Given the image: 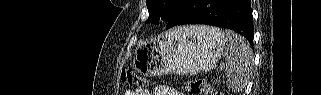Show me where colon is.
Instances as JSON below:
<instances>
[{
  "instance_id": "colon-1",
  "label": "colon",
  "mask_w": 321,
  "mask_h": 95,
  "mask_svg": "<svg viewBox=\"0 0 321 95\" xmlns=\"http://www.w3.org/2000/svg\"><path fill=\"white\" fill-rule=\"evenodd\" d=\"M121 78L126 85L130 86H146L149 84L147 79L137 75L130 69L122 70ZM185 88L191 94L220 95L219 92L201 80H191L186 84Z\"/></svg>"
}]
</instances>
